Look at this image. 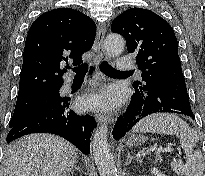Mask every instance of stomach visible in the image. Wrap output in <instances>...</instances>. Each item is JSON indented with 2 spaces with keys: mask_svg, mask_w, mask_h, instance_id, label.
<instances>
[{
  "mask_svg": "<svg viewBox=\"0 0 205 176\" xmlns=\"http://www.w3.org/2000/svg\"><path fill=\"white\" fill-rule=\"evenodd\" d=\"M148 140V137L144 135H136L133 134L127 141V146L135 147L141 145V143H145Z\"/></svg>",
  "mask_w": 205,
  "mask_h": 176,
  "instance_id": "stomach-1",
  "label": "stomach"
}]
</instances>
